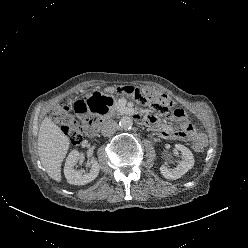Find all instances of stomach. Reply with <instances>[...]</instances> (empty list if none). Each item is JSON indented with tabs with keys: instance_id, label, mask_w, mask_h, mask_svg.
<instances>
[{
	"instance_id": "stomach-1",
	"label": "stomach",
	"mask_w": 248,
	"mask_h": 248,
	"mask_svg": "<svg viewBox=\"0 0 248 248\" xmlns=\"http://www.w3.org/2000/svg\"><path fill=\"white\" fill-rule=\"evenodd\" d=\"M117 103L106 92L97 89L87 91L81 99L75 102L74 110L78 116L86 117L90 114L105 119L115 112Z\"/></svg>"
}]
</instances>
